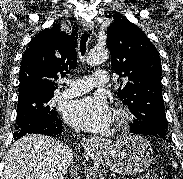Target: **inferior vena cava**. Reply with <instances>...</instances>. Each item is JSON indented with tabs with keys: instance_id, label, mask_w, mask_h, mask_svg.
<instances>
[{
	"instance_id": "602c4592",
	"label": "inferior vena cava",
	"mask_w": 183,
	"mask_h": 179,
	"mask_svg": "<svg viewBox=\"0 0 183 179\" xmlns=\"http://www.w3.org/2000/svg\"><path fill=\"white\" fill-rule=\"evenodd\" d=\"M75 176H76V177H75L74 179H78V178H77V173L75 174Z\"/></svg>"
}]
</instances>
